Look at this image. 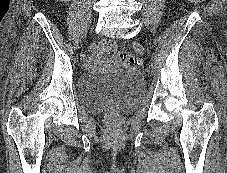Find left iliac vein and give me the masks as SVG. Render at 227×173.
<instances>
[{"instance_id": "obj_1", "label": "left iliac vein", "mask_w": 227, "mask_h": 173, "mask_svg": "<svg viewBox=\"0 0 227 173\" xmlns=\"http://www.w3.org/2000/svg\"><path fill=\"white\" fill-rule=\"evenodd\" d=\"M133 45H134V47L136 48V50H137L140 54H143V53H144V48H143V46H142L139 42L134 41V42H133Z\"/></svg>"}]
</instances>
